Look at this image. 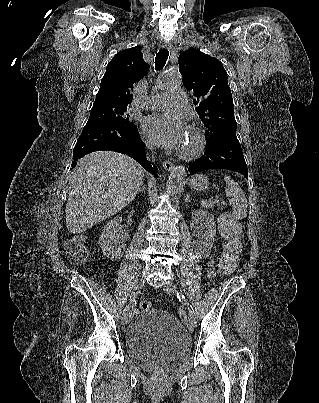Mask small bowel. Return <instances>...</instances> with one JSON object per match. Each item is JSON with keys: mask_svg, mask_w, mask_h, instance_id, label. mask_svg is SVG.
Here are the masks:
<instances>
[{"mask_svg": "<svg viewBox=\"0 0 319 403\" xmlns=\"http://www.w3.org/2000/svg\"><path fill=\"white\" fill-rule=\"evenodd\" d=\"M208 275L213 277L215 275V267L213 260H209L208 262Z\"/></svg>", "mask_w": 319, "mask_h": 403, "instance_id": "obj_1", "label": "small bowel"}]
</instances>
